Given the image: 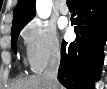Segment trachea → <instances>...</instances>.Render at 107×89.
<instances>
[{
	"instance_id": "3493384b",
	"label": "trachea",
	"mask_w": 107,
	"mask_h": 89,
	"mask_svg": "<svg viewBox=\"0 0 107 89\" xmlns=\"http://www.w3.org/2000/svg\"><path fill=\"white\" fill-rule=\"evenodd\" d=\"M67 4H73L72 0H67Z\"/></svg>"
}]
</instances>
